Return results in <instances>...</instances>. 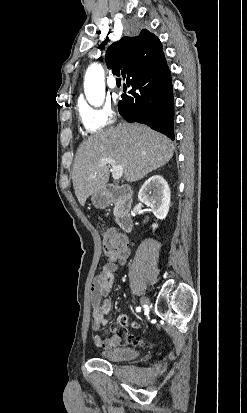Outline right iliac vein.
<instances>
[{
    "instance_id": "1",
    "label": "right iliac vein",
    "mask_w": 247,
    "mask_h": 413,
    "mask_svg": "<svg viewBox=\"0 0 247 413\" xmlns=\"http://www.w3.org/2000/svg\"><path fill=\"white\" fill-rule=\"evenodd\" d=\"M140 303H141L142 305H146V306L150 304L149 299H148L147 297H145V296H142V297L140 298Z\"/></svg>"
}]
</instances>
